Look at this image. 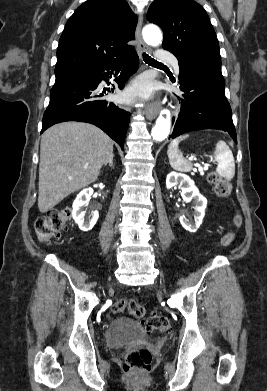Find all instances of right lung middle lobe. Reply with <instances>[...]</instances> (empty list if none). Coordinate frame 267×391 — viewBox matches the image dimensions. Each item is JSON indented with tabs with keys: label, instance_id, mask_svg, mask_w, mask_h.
I'll use <instances>...</instances> for the list:
<instances>
[{
	"label": "right lung middle lobe",
	"instance_id": "dd1d6c3e",
	"mask_svg": "<svg viewBox=\"0 0 267 391\" xmlns=\"http://www.w3.org/2000/svg\"><path fill=\"white\" fill-rule=\"evenodd\" d=\"M74 76H75V75H68V76L56 77L55 83H59V82L65 81V80L70 79V78H72V77H74Z\"/></svg>",
	"mask_w": 267,
	"mask_h": 391
}]
</instances>
